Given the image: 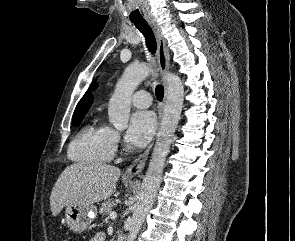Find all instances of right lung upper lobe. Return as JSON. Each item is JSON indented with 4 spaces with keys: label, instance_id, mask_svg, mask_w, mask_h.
I'll return each instance as SVG.
<instances>
[{
    "label": "right lung upper lobe",
    "instance_id": "obj_1",
    "mask_svg": "<svg viewBox=\"0 0 295 241\" xmlns=\"http://www.w3.org/2000/svg\"><path fill=\"white\" fill-rule=\"evenodd\" d=\"M91 103H92V96L90 92L87 91L82 97V99L79 101V103L77 104V107L74 112V117L85 115Z\"/></svg>",
    "mask_w": 295,
    "mask_h": 241
}]
</instances>
